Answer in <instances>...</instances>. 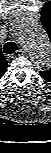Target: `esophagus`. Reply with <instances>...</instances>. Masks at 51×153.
Wrapping results in <instances>:
<instances>
[{"mask_svg": "<svg viewBox=\"0 0 51 153\" xmlns=\"http://www.w3.org/2000/svg\"><path fill=\"white\" fill-rule=\"evenodd\" d=\"M24 54V51L22 49L17 50L12 57L22 56Z\"/></svg>", "mask_w": 51, "mask_h": 153, "instance_id": "esophagus-1", "label": "esophagus"}]
</instances>
